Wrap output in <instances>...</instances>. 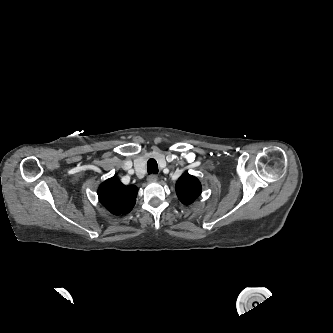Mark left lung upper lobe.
<instances>
[{
  "label": "left lung upper lobe",
  "instance_id": "1",
  "mask_svg": "<svg viewBox=\"0 0 333 333\" xmlns=\"http://www.w3.org/2000/svg\"><path fill=\"white\" fill-rule=\"evenodd\" d=\"M176 192L179 200L185 204H191L201 194L199 180L189 174L182 175L176 183Z\"/></svg>",
  "mask_w": 333,
  "mask_h": 333
}]
</instances>
